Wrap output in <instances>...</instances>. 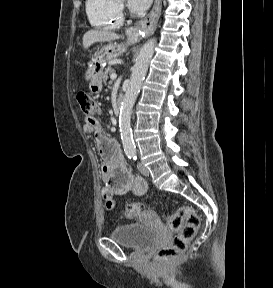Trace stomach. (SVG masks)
Masks as SVG:
<instances>
[{
  "label": "stomach",
  "instance_id": "obj_1",
  "mask_svg": "<svg viewBox=\"0 0 273 288\" xmlns=\"http://www.w3.org/2000/svg\"><path fill=\"white\" fill-rule=\"evenodd\" d=\"M125 50L124 44H118L116 42L108 43L104 45L97 53H95L91 61L89 62V69L86 74L87 80H90V90L94 93H99L102 89L101 76L104 66L120 56Z\"/></svg>",
  "mask_w": 273,
  "mask_h": 288
}]
</instances>
